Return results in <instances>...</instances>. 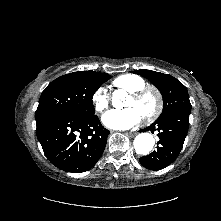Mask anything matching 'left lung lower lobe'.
Here are the masks:
<instances>
[{
	"instance_id": "1",
	"label": "left lung lower lobe",
	"mask_w": 221,
	"mask_h": 221,
	"mask_svg": "<svg viewBox=\"0 0 221 221\" xmlns=\"http://www.w3.org/2000/svg\"><path fill=\"white\" fill-rule=\"evenodd\" d=\"M189 115L187 113L172 114L140 130V132L150 130L152 133L157 130L160 139L157 143V150L139 159L142 166L157 171L174 162L188 132Z\"/></svg>"
}]
</instances>
